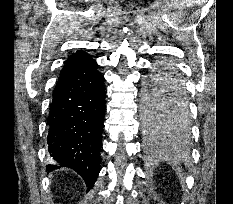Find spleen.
<instances>
[{"mask_svg":"<svg viewBox=\"0 0 233 204\" xmlns=\"http://www.w3.org/2000/svg\"><path fill=\"white\" fill-rule=\"evenodd\" d=\"M175 149L176 148H173L169 153H171L172 155H176L177 152ZM183 161L185 162L186 165H188V158L186 156L183 157Z\"/></svg>","mask_w":233,"mask_h":204,"instance_id":"obj_1","label":"spleen"}]
</instances>
